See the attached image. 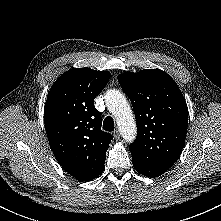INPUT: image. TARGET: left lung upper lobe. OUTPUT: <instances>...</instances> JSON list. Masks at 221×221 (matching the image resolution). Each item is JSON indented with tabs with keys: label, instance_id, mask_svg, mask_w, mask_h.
Masks as SVG:
<instances>
[{
	"label": "left lung upper lobe",
	"instance_id": "5c2ea615",
	"mask_svg": "<svg viewBox=\"0 0 221 221\" xmlns=\"http://www.w3.org/2000/svg\"><path fill=\"white\" fill-rule=\"evenodd\" d=\"M118 81L136 117L137 137L130 144L132 161L170 168L183 149L188 108L178 85L160 69L125 72Z\"/></svg>",
	"mask_w": 221,
	"mask_h": 221
}]
</instances>
